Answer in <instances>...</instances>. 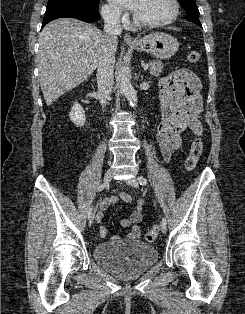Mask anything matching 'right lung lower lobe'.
<instances>
[{
    "label": "right lung lower lobe",
    "instance_id": "1",
    "mask_svg": "<svg viewBox=\"0 0 245 314\" xmlns=\"http://www.w3.org/2000/svg\"><path fill=\"white\" fill-rule=\"evenodd\" d=\"M65 17L76 18L88 23L96 22L100 19L98 10L73 5L52 6L46 8L42 28L54 19Z\"/></svg>",
    "mask_w": 245,
    "mask_h": 314
}]
</instances>
